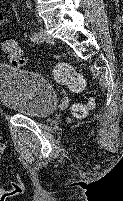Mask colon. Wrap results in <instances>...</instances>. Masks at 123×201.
Masks as SVG:
<instances>
[{
    "label": "colon",
    "mask_w": 123,
    "mask_h": 201,
    "mask_svg": "<svg viewBox=\"0 0 123 201\" xmlns=\"http://www.w3.org/2000/svg\"><path fill=\"white\" fill-rule=\"evenodd\" d=\"M1 47L3 53L11 64L15 66L26 65V57L14 39H4ZM53 76L57 83L66 85L74 91H80L84 88L85 80L83 76L75 72L69 64H57L53 69ZM72 111L76 118H83L87 114L88 106L78 103L72 107Z\"/></svg>",
    "instance_id": "1"
}]
</instances>
